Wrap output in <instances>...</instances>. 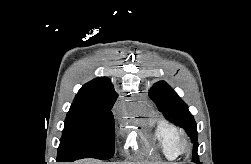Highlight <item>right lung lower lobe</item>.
Instances as JSON below:
<instances>
[{"label":"right lung lower lobe","mask_w":251,"mask_h":164,"mask_svg":"<svg viewBox=\"0 0 251 164\" xmlns=\"http://www.w3.org/2000/svg\"><path fill=\"white\" fill-rule=\"evenodd\" d=\"M58 162H73V160L69 159H57Z\"/></svg>","instance_id":"obj_1"}]
</instances>
